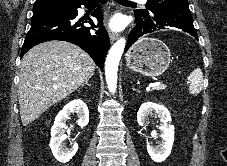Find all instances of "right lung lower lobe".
I'll return each mask as SVG.
<instances>
[{
	"mask_svg": "<svg viewBox=\"0 0 227 166\" xmlns=\"http://www.w3.org/2000/svg\"><path fill=\"white\" fill-rule=\"evenodd\" d=\"M96 0H86L74 4L69 13L51 14L31 21V28L25 38L20 57L37 44L61 40L73 43L86 51L95 61L100 69H103L106 53L110 46L108 34L103 28L101 10L98 8L93 12V16L98 20L100 31L95 34L90 33V29L95 28L92 20L85 21L84 18L78 19L77 8L81 5H92ZM106 0H98L103 3ZM89 23L91 27L83 24Z\"/></svg>",
	"mask_w": 227,
	"mask_h": 166,
	"instance_id": "98d812e1",
	"label": "right lung lower lobe"
}]
</instances>
